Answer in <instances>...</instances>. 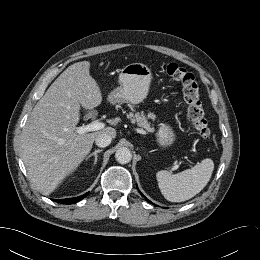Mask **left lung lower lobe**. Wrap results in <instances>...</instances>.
Wrapping results in <instances>:
<instances>
[{"label": "left lung lower lobe", "instance_id": "left-lung-lower-lobe-1", "mask_svg": "<svg viewBox=\"0 0 260 260\" xmlns=\"http://www.w3.org/2000/svg\"><path fill=\"white\" fill-rule=\"evenodd\" d=\"M142 195V194H141ZM144 197V195H142ZM146 199V198H145ZM147 200V199H146ZM148 202H150L149 200H147ZM151 203V202H150Z\"/></svg>", "mask_w": 260, "mask_h": 260}]
</instances>
